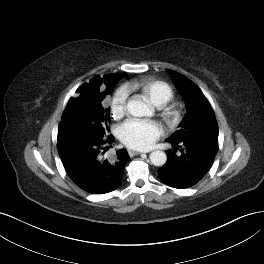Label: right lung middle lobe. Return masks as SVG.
Segmentation results:
<instances>
[{"label":"right lung middle lobe","instance_id":"1","mask_svg":"<svg viewBox=\"0 0 264 264\" xmlns=\"http://www.w3.org/2000/svg\"><path fill=\"white\" fill-rule=\"evenodd\" d=\"M114 85L115 83L103 88L100 93L87 100L72 104L59 124L58 139H68L78 134L108 135L110 108H104L101 102L112 91Z\"/></svg>","mask_w":264,"mask_h":264}]
</instances>
